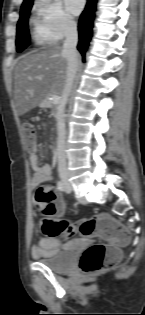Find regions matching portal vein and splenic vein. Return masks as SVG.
<instances>
[{
	"instance_id": "obj_1",
	"label": "portal vein and splenic vein",
	"mask_w": 145,
	"mask_h": 315,
	"mask_svg": "<svg viewBox=\"0 0 145 315\" xmlns=\"http://www.w3.org/2000/svg\"><path fill=\"white\" fill-rule=\"evenodd\" d=\"M52 100H53V103L56 104L59 101V98L57 95H53Z\"/></svg>"
}]
</instances>
